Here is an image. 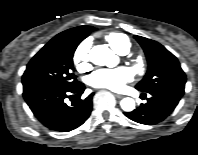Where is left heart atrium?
<instances>
[{
	"label": "left heart atrium",
	"mask_w": 198,
	"mask_h": 155,
	"mask_svg": "<svg viewBox=\"0 0 198 155\" xmlns=\"http://www.w3.org/2000/svg\"><path fill=\"white\" fill-rule=\"evenodd\" d=\"M132 79V73L127 67L115 69H101L89 77V83L95 88H105L112 91H120L125 84Z\"/></svg>",
	"instance_id": "1"
}]
</instances>
